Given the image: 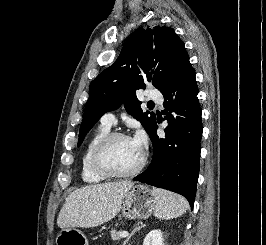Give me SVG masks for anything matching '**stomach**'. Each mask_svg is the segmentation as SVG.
<instances>
[{"mask_svg": "<svg viewBox=\"0 0 266 245\" xmlns=\"http://www.w3.org/2000/svg\"><path fill=\"white\" fill-rule=\"evenodd\" d=\"M156 201L147 185H136L125 195L120 209L125 219H147L155 209ZM57 245H89L87 237L78 229H62Z\"/></svg>", "mask_w": 266, "mask_h": 245, "instance_id": "stomach-1", "label": "stomach"}]
</instances>
